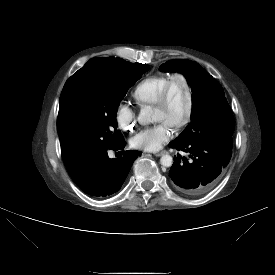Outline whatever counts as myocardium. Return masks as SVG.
I'll return each instance as SVG.
<instances>
[{
	"mask_svg": "<svg viewBox=\"0 0 275 275\" xmlns=\"http://www.w3.org/2000/svg\"><path fill=\"white\" fill-rule=\"evenodd\" d=\"M178 79H180L184 83L186 91H187L188 99H187V106H186L184 115L182 116L181 119H179L173 125V127L175 129H179V128L185 126L186 124H188L190 122L193 112H194L195 95H194L193 87H192L188 77L182 72H176V73L172 74L169 77V80L166 83L165 87L163 88L162 92L160 93L157 102L154 104V107H156V108H165L168 106L174 82H175V80H178Z\"/></svg>",
	"mask_w": 275,
	"mask_h": 275,
	"instance_id": "myocardium-1",
	"label": "myocardium"
}]
</instances>
